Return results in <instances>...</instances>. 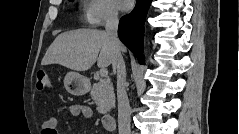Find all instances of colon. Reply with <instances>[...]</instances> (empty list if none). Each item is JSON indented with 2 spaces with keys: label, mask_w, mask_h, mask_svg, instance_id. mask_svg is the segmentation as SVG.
<instances>
[{
  "label": "colon",
  "mask_w": 239,
  "mask_h": 134,
  "mask_svg": "<svg viewBox=\"0 0 239 134\" xmlns=\"http://www.w3.org/2000/svg\"><path fill=\"white\" fill-rule=\"evenodd\" d=\"M36 87L39 91H47L52 87V78L44 71L37 74Z\"/></svg>",
  "instance_id": "1"
}]
</instances>
